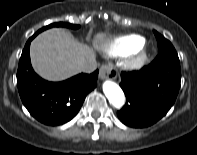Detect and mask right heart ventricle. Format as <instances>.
<instances>
[{"label": "right heart ventricle", "instance_id": "e07e8e85", "mask_svg": "<svg viewBox=\"0 0 197 155\" xmlns=\"http://www.w3.org/2000/svg\"><path fill=\"white\" fill-rule=\"evenodd\" d=\"M144 38L139 35H126L114 38L106 47L110 56H123L136 52L144 44Z\"/></svg>", "mask_w": 197, "mask_h": 155}]
</instances>
